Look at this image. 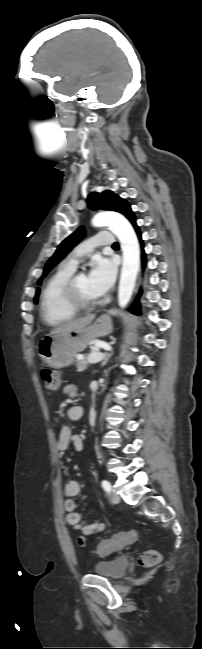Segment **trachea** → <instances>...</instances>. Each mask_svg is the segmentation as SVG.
Listing matches in <instances>:
<instances>
[{
    "mask_svg": "<svg viewBox=\"0 0 202 649\" xmlns=\"http://www.w3.org/2000/svg\"><path fill=\"white\" fill-rule=\"evenodd\" d=\"M117 246H118V243H117V242L113 244V247H117Z\"/></svg>",
    "mask_w": 202,
    "mask_h": 649,
    "instance_id": "3493384b",
    "label": "trachea"
}]
</instances>
